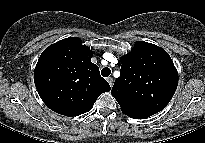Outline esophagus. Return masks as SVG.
Here are the masks:
<instances>
[{
    "label": "esophagus",
    "mask_w": 205,
    "mask_h": 143,
    "mask_svg": "<svg viewBox=\"0 0 205 143\" xmlns=\"http://www.w3.org/2000/svg\"><path fill=\"white\" fill-rule=\"evenodd\" d=\"M107 82L109 83V85L112 87L113 86V78L112 77H108L107 78Z\"/></svg>",
    "instance_id": "esophagus-1"
}]
</instances>
